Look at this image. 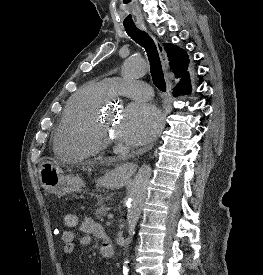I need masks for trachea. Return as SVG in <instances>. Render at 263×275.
I'll list each match as a JSON object with an SVG mask.
<instances>
[{
    "label": "trachea",
    "mask_w": 263,
    "mask_h": 275,
    "mask_svg": "<svg viewBox=\"0 0 263 275\" xmlns=\"http://www.w3.org/2000/svg\"><path fill=\"white\" fill-rule=\"evenodd\" d=\"M126 33L139 45L145 48L150 62V69L153 82L160 90L166 91V82L162 70V65L157 47L153 39L145 32L137 27H125Z\"/></svg>",
    "instance_id": "3493384b"
}]
</instances>
